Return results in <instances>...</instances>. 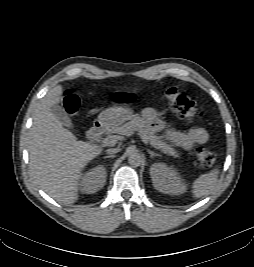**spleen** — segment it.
Listing matches in <instances>:
<instances>
[{
	"label": "spleen",
	"instance_id": "spleen-1",
	"mask_svg": "<svg viewBox=\"0 0 254 267\" xmlns=\"http://www.w3.org/2000/svg\"><path fill=\"white\" fill-rule=\"evenodd\" d=\"M218 182V170L214 169L209 173L200 175L192 185V193L195 198L209 195Z\"/></svg>",
	"mask_w": 254,
	"mask_h": 267
}]
</instances>
